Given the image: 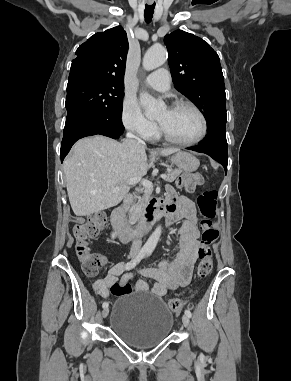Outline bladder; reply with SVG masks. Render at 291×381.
Instances as JSON below:
<instances>
[{
	"mask_svg": "<svg viewBox=\"0 0 291 381\" xmlns=\"http://www.w3.org/2000/svg\"><path fill=\"white\" fill-rule=\"evenodd\" d=\"M173 321L163 299L137 291L122 295L113 303L110 329L131 346L148 349L170 335Z\"/></svg>",
	"mask_w": 291,
	"mask_h": 381,
	"instance_id": "31cf9c89",
	"label": "bladder"
}]
</instances>
